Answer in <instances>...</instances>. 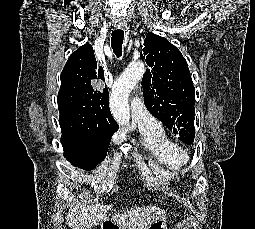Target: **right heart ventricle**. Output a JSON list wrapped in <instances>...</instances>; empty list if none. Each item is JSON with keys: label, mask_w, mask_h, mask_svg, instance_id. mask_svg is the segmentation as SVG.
Masks as SVG:
<instances>
[{"label": "right heart ventricle", "mask_w": 255, "mask_h": 229, "mask_svg": "<svg viewBox=\"0 0 255 229\" xmlns=\"http://www.w3.org/2000/svg\"><path fill=\"white\" fill-rule=\"evenodd\" d=\"M140 132V147L154 161L169 169H179L186 162L172 151L173 143L167 137L163 126L157 121L155 127L137 124Z\"/></svg>", "instance_id": "right-heart-ventricle-1"}]
</instances>
